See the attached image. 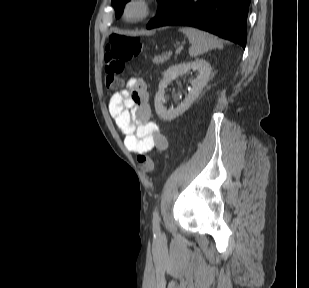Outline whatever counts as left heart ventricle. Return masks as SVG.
<instances>
[{"label":"left heart ventricle","instance_id":"obj_1","mask_svg":"<svg viewBox=\"0 0 309 288\" xmlns=\"http://www.w3.org/2000/svg\"><path fill=\"white\" fill-rule=\"evenodd\" d=\"M140 11H141V8H140L139 5H133L129 9L128 14H129L130 17H135V16L139 15Z\"/></svg>","mask_w":309,"mask_h":288}]
</instances>
